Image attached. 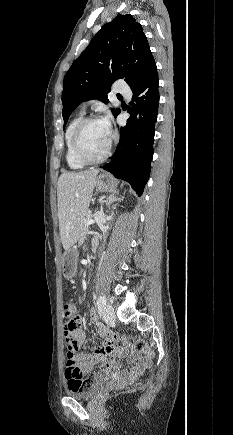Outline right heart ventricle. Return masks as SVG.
Wrapping results in <instances>:
<instances>
[{"instance_id":"right-heart-ventricle-1","label":"right heart ventricle","mask_w":233,"mask_h":435,"mask_svg":"<svg viewBox=\"0 0 233 435\" xmlns=\"http://www.w3.org/2000/svg\"><path fill=\"white\" fill-rule=\"evenodd\" d=\"M82 118H83V113L80 112L75 118H73L70 121L65 132V146H66L65 158L68 167L74 170H79L86 166V163H84L82 160L78 158L73 147V133L77 124L80 122Z\"/></svg>"}]
</instances>
